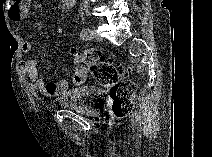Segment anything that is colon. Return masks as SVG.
<instances>
[{
    "instance_id": "1",
    "label": "colon",
    "mask_w": 212,
    "mask_h": 157,
    "mask_svg": "<svg viewBox=\"0 0 212 157\" xmlns=\"http://www.w3.org/2000/svg\"><path fill=\"white\" fill-rule=\"evenodd\" d=\"M72 55L76 64L75 80L82 82L90 73L102 87L109 90L113 114L117 118L128 116L136 84L132 80L123 79L122 75L127 70L106 59L99 49H89L83 53L74 50Z\"/></svg>"
}]
</instances>
